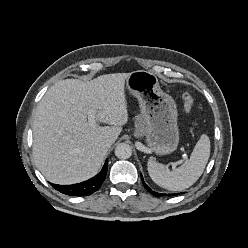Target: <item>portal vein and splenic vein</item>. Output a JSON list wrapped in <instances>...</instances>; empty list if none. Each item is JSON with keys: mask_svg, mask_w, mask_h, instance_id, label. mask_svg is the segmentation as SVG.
Here are the masks:
<instances>
[{"mask_svg": "<svg viewBox=\"0 0 248 248\" xmlns=\"http://www.w3.org/2000/svg\"><path fill=\"white\" fill-rule=\"evenodd\" d=\"M88 121L90 125H94L96 123L94 114L90 113L88 116Z\"/></svg>", "mask_w": 248, "mask_h": 248, "instance_id": "18ae733b", "label": "portal vein and splenic vein"}]
</instances>
